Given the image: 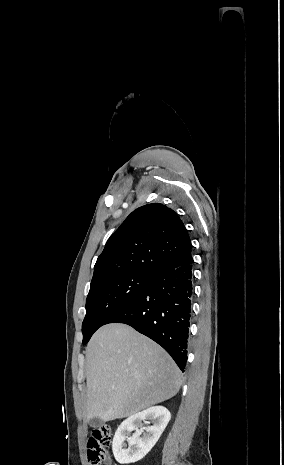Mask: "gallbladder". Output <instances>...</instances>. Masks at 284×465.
Wrapping results in <instances>:
<instances>
[{"instance_id": "1", "label": "gallbladder", "mask_w": 284, "mask_h": 465, "mask_svg": "<svg viewBox=\"0 0 284 465\" xmlns=\"http://www.w3.org/2000/svg\"><path fill=\"white\" fill-rule=\"evenodd\" d=\"M88 425H90V427H95V429H97V427H102V425H104L103 421H101V419H91V421H89Z\"/></svg>"}]
</instances>
